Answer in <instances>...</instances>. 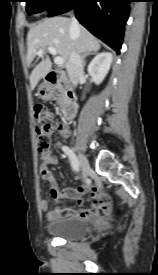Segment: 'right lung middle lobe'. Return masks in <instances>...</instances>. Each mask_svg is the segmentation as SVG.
<instances>
[{
    "mask_svg": "<svg viewBox=\"0 0 158 275\" xmlns=\"http://www.w3.org/2000/svg\"><path fill=\"white\" fill-rule=\"evenodd\" d=\"M64 0H26L27 13L36 14L45 10H52Z\"/></svg>",
    "mask_w": 158,
    "mask_h": 275,
    "instance_id": "1",
    "label": "right lung middle lobe"
}]
</instances>
